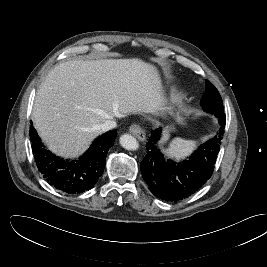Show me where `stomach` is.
<instances>
[{"label": "stomach", "instance_id": "stomach-1", "mask_svg": "<svg viewBox=\"0 0 267 267\" xmlns=\"http://www.w3.org/2000/svg\"><path fill=\"white\" fill-rule=\"evenodd\" d=\"M176 121L178 124H183V118L181 116H177Z\"/></svg>", "mask_w": 267, "mask_h": 267}]
</instances>
